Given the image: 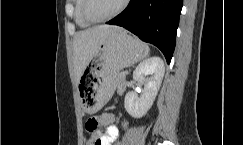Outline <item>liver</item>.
I'll return each mask as SVG.
<instances>
[{
  "instance_id": "liver-1",
  "label": "liver",
  "mask_w": 243,
  "mask_h": 145,
  "mask_svg": "<svg viewBox=\"0 0 243 145\" xmlns=\"http://www.w3.org/2000/svg\"><path fill=\"white\" fill-rule=\"evenodd\" d=\"M120 30L122 28L119 26L98 25L76 33L73 41V54L77 83H79L83 71L95 57L107 37Z\"/></svg>"
}]
</instances>
